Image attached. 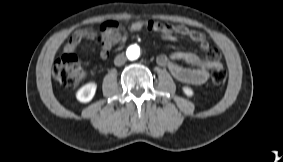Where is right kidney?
I'll use <instances>...</instances> for the list:
<instances>
[{"instance_id": "ca27d5eb", "label": "right kidney", "mask_w": 283, "mask_h": 162, "mask_svg": "<svg viewBox=\"0 0 283 162\" xmlns=\"http://www.w3.org/2000/svg\"><path fill=\"white\" fill-rule=\"evenodd\" d=\"M97 85L93 82L82 86L76 93V98L82 103H87L92 100L95 95Z\"/></svg>"}]
</instances>
